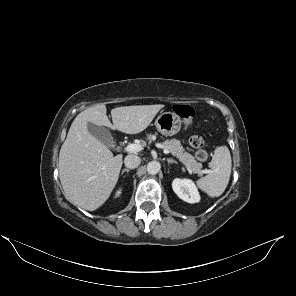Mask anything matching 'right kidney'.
I'll use <instances>...</instances> for the list:
<instances>
[{
	"mask_svg": "<svg viewBox=\"0 0 296 296\" xmlns=\"http://www.w3.org/2000/svg\"><path fill=\"white\" fill-rule=\"evenodd\" d=\"M121 194V189L116 192L115 197H118Z\"/></svg>",
	"mask_w": 296,
	"mask_h": 296,
	"instance_id": "right-kidney-1",
	"label": "right kidney"
}]
</instances>
